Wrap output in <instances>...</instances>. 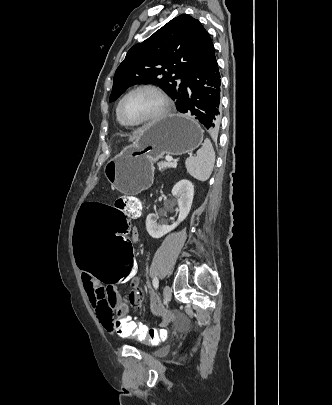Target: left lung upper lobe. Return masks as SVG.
<instances>
[{
	"mask_svg": "<svg viewBox=\"0 0 332 405\" xmlns=\"http://www.w3.org/2000/svg\"><path fill=\"white\" fill-rule=\"evenodd\" d=\"M212 46L208 32L197 19L186 14L172 19L127 52L115 72L109 101L141 83L160 85L177 101L187 92L190 74ZM179 79L180 84L176 82Z\"/></svg>",
	"mask_w": 332,
	"mask_h": 405,
	"instance_id": "left-lung-upper-lobe-1",
	"label": "left lung upper lobe"
}]
</instances>
